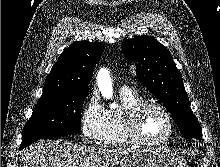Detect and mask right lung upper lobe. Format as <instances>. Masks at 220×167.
Listing matches in <instances>:
<instances>
[{
	"label": "right lung upper lobe",
	"mask_w": 220,
	"mask_h": 167,
	"mask_svg": "<svg viewBox=\"0 0 220 167\" xmlns=\"http://www.w3.org/2000/svg\"><path fill=\"white\" fill-rule=\"evenodd\" d=\"M103 51L104 45L99 42L72 43L52 67L40 99L65 91L89 89L94 67Z\"/></svg>",
	"instance_id": "right-lung-upper-lobe-1"
}]
</instances>
